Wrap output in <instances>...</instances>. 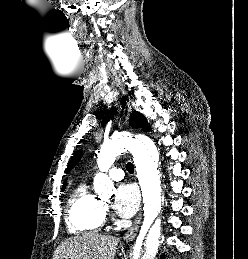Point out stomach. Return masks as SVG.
I'll use <instances>...</instances> for the list:
<instances>
[{
    "label": "stomach",
    "instance_id": "1",
    "mask_svg": "<svg viewBox=\"0 0 248 259\" xmlns=\"http://www.w3.org/2000/svg\"><path fill=\"white\" fill-rule=\"evenodd\" d=\"M59 259H66V258H64V257H60Z\"/></svg>",
    "mask_w": 248,
    "mask_h": 259
}]
</instances>
